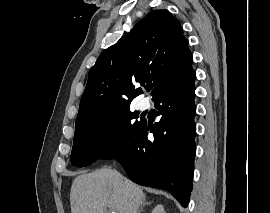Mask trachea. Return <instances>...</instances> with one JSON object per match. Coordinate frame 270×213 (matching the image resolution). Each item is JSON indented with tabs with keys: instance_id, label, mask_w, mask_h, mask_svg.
Instances as JSON below:
<instances>
[{
	"instance_id": "obj_1",
	"label": "trachea",
	"mask_w": 270,
	"mask_h": 213,
	"mask_svg": "<svg viewBox=\"0 0 270 213\" xmlns=\"http://www.w3.org/2000/svg\"><path fill=\"white\" fill-rule=\"evenodd\" d=\"M151 88H148L147 91H150Z\"/></svg>"
}]
</instances>
